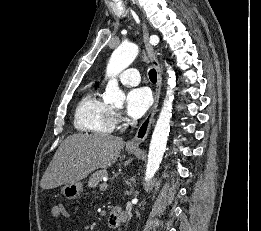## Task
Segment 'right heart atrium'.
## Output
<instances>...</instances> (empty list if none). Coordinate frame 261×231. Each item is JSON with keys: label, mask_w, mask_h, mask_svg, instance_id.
I'll return each instance as SVG.
<instances>
[{"label": "right heart atrium", "mask_w": 261, "mask_h": 231, "mask_svg": "<svg viewBox=\"0 0 261 231\" xmlns=\"http://www.w3.org/2000/svg\"><path fill=\"white\" fill-rule=\"evenodd\" d=\"M114 118H115V121H116V122H120L121 119H122V118H121V115H120L119 113H115V114H114Z\"/></svg>", "instance_id": "obj_1"}]
</instances>
